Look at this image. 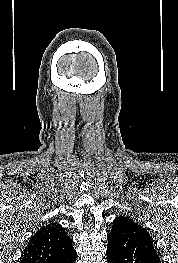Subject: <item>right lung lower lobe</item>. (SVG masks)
<instances>
[{"mask_svg":"<svg viewBox=\"0 0 178 263\" xmlns=\"http://www.w3.org/2000/svg\"><path fill=\"white\" fill-rule=\"evenodd\" d=\"M76 256H77V253L76 251H74L71 254H69L67 257H65L64 259L58 261L57 263H75Z\"/></svg>","mask_w":178,"mask_h":263,"instance_id":"right-lung-lower-lobe-1","label":"right lung lower lobe"}]
</instances>
